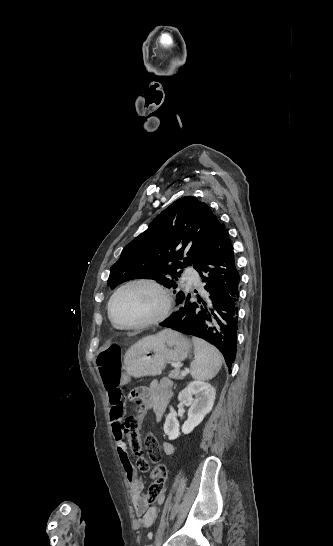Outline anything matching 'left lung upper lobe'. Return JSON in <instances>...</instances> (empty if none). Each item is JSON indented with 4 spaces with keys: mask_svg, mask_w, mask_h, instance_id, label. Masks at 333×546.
I'll list each match as a JSON object with an SVG mask.
<instances>
[{
    "mask_svg": "<svg viewBox=\"0 0 333 546\" xmlns=\"http://www.w3.org/2000/svg\"><path fill=\"white\" fill-rule=\"evenodd\" d=\"M217 223L207 204L192 196L178 199L125 246L107 284L114 289L128 280L147 278L177 288L183 268L195 266L207 251Z\"/></svg>",
    "mask_w": 333,
    "mask_h": 546,
    "instance_id": "obj_1",
    "label": "left lung upper lobe"
}]
</instances>
